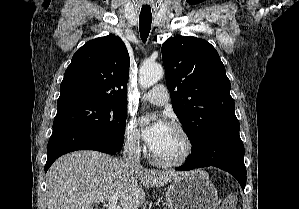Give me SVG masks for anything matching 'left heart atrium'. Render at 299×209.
I'll use <instances>...</instances> for the list:
<instances>
[{"label":"left heart atrium","instance_id":"obj_1","mask_svg":"<svg viewBox=\"0 0 299 209\" xmlns=\"http://www.w3.org/2000/svg\"><path fill=\"white\" fill-rule=\"evenodd\" d=\"M142 135L150 148H153L164 136L169 125L160 117L143 116L140 119Z\"/></svg>","mask_w":299,"mask_h":209}]
</instances>
